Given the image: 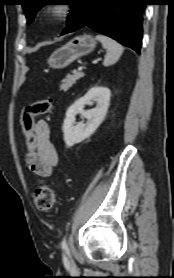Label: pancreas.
Here are the masks:
<instances>
[{"instance_id": "1", "label": "pancreas", "mask_w": 174, "mask_h": 278, "mask_svg": "<svg viewBox=\"0 0 174 278\" xmlns=\"http://www.w3.org/2000/svg\"><path fill=\"white\" fill-rule=\"evenodd\" d=\"M84 77V73L78 72L74 73L72 75H67L65 79L62 80L60 87V90L67 91L70 87H72L77 80Z\"/></svg>"}]
</instances>
